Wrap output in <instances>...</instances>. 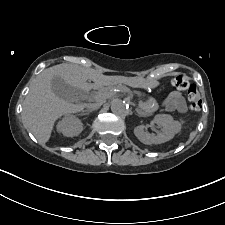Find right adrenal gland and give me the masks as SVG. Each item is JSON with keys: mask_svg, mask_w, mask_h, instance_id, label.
Instances as JSON below:
<instances>
[{"mask_svg": "<svg viewBox=\"0 0 225 225\" xmlns=\"http://www.w3.org/2000/svg\"><path fill=\"white\" fill-rule=\"evenodd\" d=\"M93 111H95V109H87V110H84V114L90 113V112H93Z\"/></svg>", "mask_w": 225, "mask_h": 225, "instance_id": "obj_1", "label": "right adrenal gland"}]
</instances>
